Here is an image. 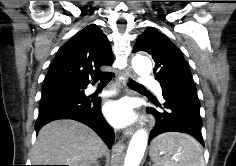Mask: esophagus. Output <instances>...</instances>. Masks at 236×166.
Returning <instances> with one entry per match:
<instances>
[{"label": "esophagus", "mask_w": 236, "mask_h": 166, "mask_svg": "<svg viewBox=\"0 0 236 166\" xmlns=\"http://www.w3.org/2000/svg\"><path fill=\"white\" fill-rule=\"evenodd\" d=\"M123 77H124V82H126L129 78L134 77V73L132 72V70L128 69L123 73ZM134 128L130 127L125 129L124 131V135L125 136H131L134 133Z\"/></svg>", "instance_id": "esophagus-1"}]
</instances>
